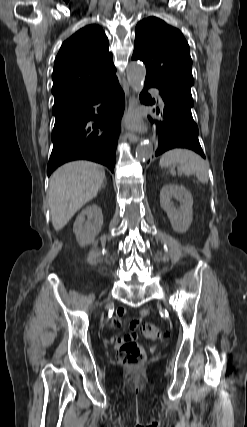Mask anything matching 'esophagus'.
I'll use <instances>...</instances> for the list:
<instances>
[{"instance_id":"esophagus-1","label":"esophagus","mask_w":247,"mask_h":427,"mask_svg":"<svg viewBox=\"0 0 247 427\" xmlns=\"http://www.w3.org/2000/svg\"><path fill=\"white\" fill-rule=\"evenodd\" d=\"M137 106H138V99L134 94H131L128 99V113H132ZM127 137L129 141L132 143H136L140 140V137L137 134H135L130 128H129Z\"/></svg>"}]
</instances>
